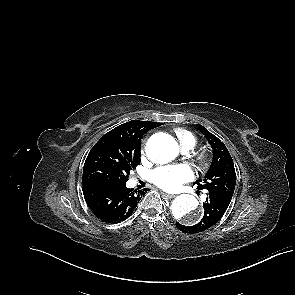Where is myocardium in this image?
Returning a JSON list of instances; mask_svg holds the SVG:
<instances>
[{
	"mask_svg": "<svg viewBox=\"0 0 295 295\" xmlns=\"http://www.w3.org/2000/svg\"><path fill=\"white\" fill-rule=\"evenodd\" d=\"M194 161L199 168L206 169L210 164V157L207 152L201 150L194 155Z\"/></svg>",
	"mask_w": 295,
	"mask_h": 295,
	"instance_id": "f54148a6",
	"label": "myocardium"
}]
</instances>
